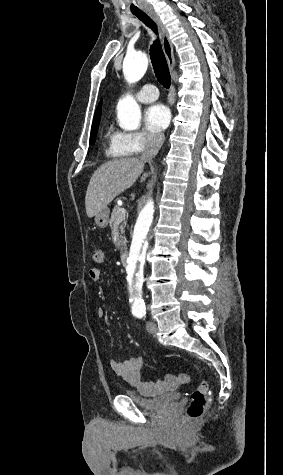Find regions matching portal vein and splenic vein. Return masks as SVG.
<instances>
[{
    "label": "portal vein and splenic vein",
    "mask_w": 283,
    "mask_h": 475,
    "mask_svg": "<svg viewBox=\"0 0 283 475\" xmlns=\"http://www.w3.org/2000/svg\"><path fill=\"white\" fill-rule=\"evenodd\" d=\"M126 210H124V208H122V214H125Z\"/></svg>",
    "instance_id": "portal-vein-and-splenic-vein-1"
}]
</instances>
